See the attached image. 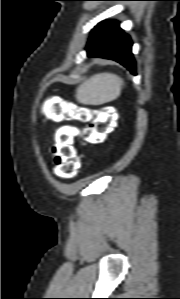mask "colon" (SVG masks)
<instances>
[{"mask_svg":"<svg viewBox=\"0 0 180 299\" xmlns=\"http://www.w3.org/2000/svg\"><path fill=\"white\" fill-rule=\"evenodd\" d=\"M52 118H67L79 122L89 123V126L78 133L71 127H62L54 135L52 155L54 173L65 179L75 177L80 168L81 160L74 148V139L80 135L84 140L97 143L104 140L113 129L116 112L113 108H103L96 114L91 108L80 105H69L65 102L55 103L51 110ZM106 115V117H102Z\"/></svg>","mask_w":180,"mask_h":299,"instance_id":"1","label":"colon"}]
</instances>
